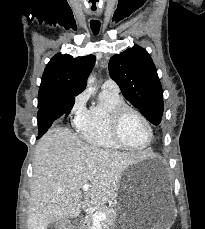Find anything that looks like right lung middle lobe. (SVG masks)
<instances>
[{
    "instance_id": "obj_1",
    "label": "right lung middle lobe",
    "mask_w": 205,
    "mask_h": 229,
    "mask_svg": "<svg viewBox=\"0 0 205 229\" xmlns=\"http://www.w3.org/2000/svg\"><path fill=\"white\" fill-rule=\"evenodd\" d=\"M71 100L74 102L75 101V98L74 97H70ZM53 103V102H52ZM52 103H49L48 101H43V102H39L38 101V109H42V108H45L47 106H49L50 104Z\"/></svg>"
}]
</instances>
